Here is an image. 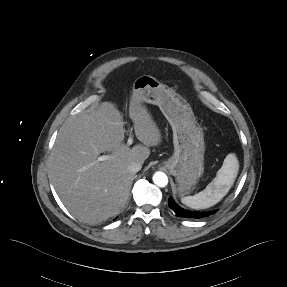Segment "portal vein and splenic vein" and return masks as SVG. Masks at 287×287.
Returning a JSON list of instances; mask_svg holds the SVG:
<instances>
[{
    "label": "portal vein and splenic vein",
    "instance_id": "obj_1",
    "mask_svg": "<svg viewBox=\"0 0 287 287\" xmlns=\"http://www.w3.org/2000/svg\"><path fill=\"white\" fill-rule=\"evenodd\" d=\"M133 143V138L129 137L128 141H127V145H131ZM111 158V155H102L98 157V161H105V160H109Z\"/></svg>",
    "mask_w": 287,
    "mask_h": 287
}]
</instances>
